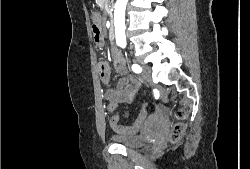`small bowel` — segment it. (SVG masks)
Listing matches in <instances>:
<instances>
[{"instance_id": "obj_1", "label": "small bowel", "mask_w": 250, "mask_h": 169, "mask_svg": "<svg viewBox=\"0 0 250 169\" xmlns=\"http://www.w3.org/2000/svg\"><path fill=\"white\" fill-rule=\"evenodd\" d=\"M112 57L115 70L119 74L124 75V77H122L117 82L115 87L110 88L105 92V98L109 103H131L140 88V82L134 77L125 76L127 74L126 60L115 47L112 48ZM98 68L103 83L108 84L111 80V69L108 63L105 61H100L98 64ZM129 93H134V98H129Z\"/></svg>"}]
</instances>
